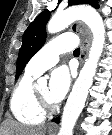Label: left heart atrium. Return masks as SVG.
<instances>
[{
    "instance_id": "obj_1",
    "label": "left heart atrium",
    "mask_w": 112,
    "mask_h": 135,
    "mask_svg": "<svg viewBox=\"0 0 112 135\" xmlns=\"http://www.w3.org/2000/svg\"><path fill=\"white\" fill-rule=\"evenodd\" d=\"M71 80L72 73L67 66H60L51 73L49 97L53 102H59L65 97Z\"/></svg>"
}]
</instances>
